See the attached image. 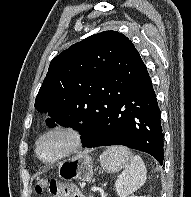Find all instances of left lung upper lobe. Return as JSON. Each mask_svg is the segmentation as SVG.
<instances>
[{"instance_id":"left-lung-upper-lobe-1","label":"left lung upper lobe","mask_w":191,"mask_h":197,"mask_svg":"<svg viewBox=\"0 0 191 197\" xmlns=\"http://www.w3.org/2000/svg\"><path fill=\"white\" fill-rule=\"evenodd\" d=\"M146 69L133 43L117 31H104L75 43L56 56L35 100L48 113L47 125L72 127L82 134L84 119L95 111L130 72Z\"/></svg>"}]
</instances>
